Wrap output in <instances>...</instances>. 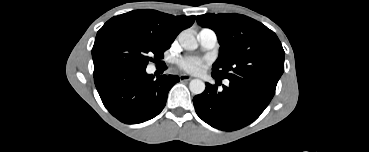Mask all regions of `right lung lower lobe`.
<instances>
[{"label":"right lung lower lobe","mask_w":369,"mask_h":152,"mask_svg":"<svg viewBox=\"0 0 369 152\" xmlns=\"http://www.w3.org/2000/svg\"><path fill=\"white\" fill-rule=\"evenodd\" d=\"M146 68L122 66L94 76L97 91L108 111L126 124L152 119L164 108L169 90L178 76L154 79Z\"/></svg>","instance_id":"98d812e1"}]
</instances>
